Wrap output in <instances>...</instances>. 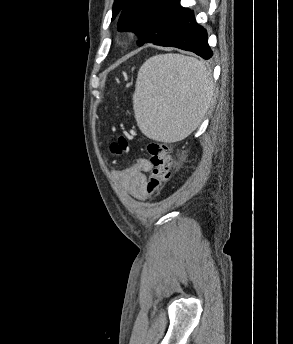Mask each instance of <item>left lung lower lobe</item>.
<instances>
[{
	"label": "left lung lower lobe",
	"instance_id": "0a47b994",
	"mask_svg": "<svg viewBox=\"0 0 293 344\" xmlns=\"http://www.w3.org/2000/svg\"><path fill=\"white\" fill-rule=\"evenodd\" d=\"M157 45L191 51L206 60L213 55L207 42V32L196 23L194 13L191 10L188 11L173 34Z\"/></svg>",
	"mask_w": 293,
	"mask_h": 344
}]
</instances>
